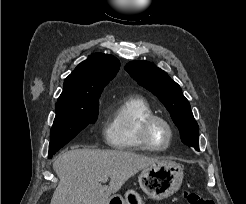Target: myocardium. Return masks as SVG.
Returning <instances> with one entry per match:
<instances>
[{"instance_id": "1", "label": "myocardium", "mask_w": 246, "mask_h": 204, "mask_svg": "<svg viewBox=\"0 0 246 204\" xmlns=\"http://www.w3.org/2000/svg\"><path fill=\"white\" fill-rule=\"evenodd\" d=\"M162 123L169 132V139L166 143V145L160 147L156 146L151 141V130L155 123ZM139 141L142 144V146L149 150L154 152H161L167 150L174 139V129L171 123L164 117L156 114L149 115L146 117L143 122L140 125L139 132H138Z\"/></svg>"}]
</instances>
